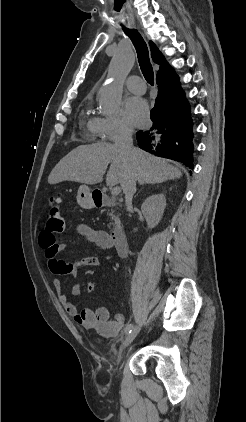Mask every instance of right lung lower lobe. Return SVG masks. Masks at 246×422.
Listing matches in <instances>:
<instances>
[{"label": "right lung lower lobe", "instance_id": "1", "mask_svg": "<svg viewBox=\"0 0 246 422\" xmlns=\"http://www.w3.org/2000/svg\"><path fill=\"white\" fill-rule=\"evenodd\" d=\"M158 96L155 106L151 110L153 129L161 134V143L156 147L155 155L182 162L190 169L193 164V122L190 106L180 87L178 76L157 79ZM138 146L151 151V137L149 131L137 132Z\"/></svg>", "mask_w": 246, "mask_h": 422}]
</instances>
